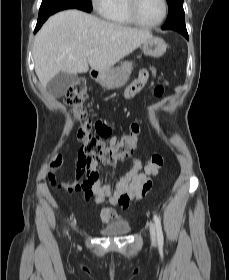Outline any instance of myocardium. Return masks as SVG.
<instances>
[{
  "mask_svg": "<svg viewBox=\"0 0 229 280\" xmlns=\"http://www.w3.org/2000/svg\"><path fill=\"white\" fill-rule=\"evenodd\" d=\"M125 1H126V10H127V13L129 15L131 21L134 24L141 26V27L154 28V27L161 25L164 22V20L167 16V13H168L167 0H161L162 6H163L161 17L156 22L147 23V22L142 21L138 17L137 10H136L137 0H125Z\"/></svg>",
  "mask_w": 229,
  "mask_h": 280,
  "instance_id": "myocardium-1",
  "label": "myocardium"
}]
</instances>
